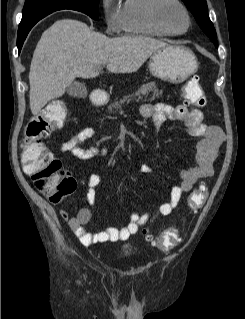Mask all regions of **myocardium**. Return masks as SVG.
Instances as JSON below:
<instances>
[{
  "label": "myocardium",
  "mask_w": 245,
  "mask_h": 319,
  "mask_svg": "<svg viewBox=\"0 0 245 319\" xmlns=\"http://www.w3.org/2000/svg\"><path fill=\"white\" fill-rule=\"evenodd\" d=\"M170 4L177 6L183 12L186 18V26L183 30L172 29L165 20L163 11ZM150 16L153 23L169 35H182L189 30L191 25L190 13L180 0H153L150 6Z\"/></svg>",
  "instance_id": "1"
}]
</instances>
